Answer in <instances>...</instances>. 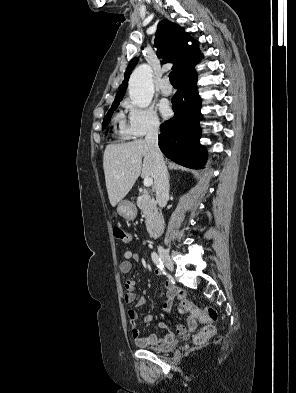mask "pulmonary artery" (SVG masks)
Returning a JSON list of instances; mask_svg holds the SVG:
<instances>
[{"label": "pulmonary artery", "instance_id": "obj_1", "mask_svg": "<svg viewBox=\"0 0 296 393\" xmlns=\"http://www.w3.org/2000/svg\"><path fill=\"white\" fill-rule=\"evenodd\" d=\"M159 88L162 94L164 95H169L172 93V86L169 83V79L167 77H164L160 84H159Z\"/></svg>", "mask_w": 296, "mask_h": 393}]
</instances>
